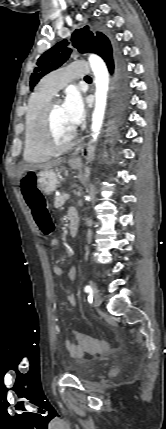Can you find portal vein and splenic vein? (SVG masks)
Instances as JSON below:
<instances>
[{"mask_svg":"<svg viewBox=\"0 0 166 429\" xmlns=\"http://www.w3.org/2000/svg\"><path fill=\"white\" fill-rule=\"evenodd\" d=\"M70 198L69 194H65V199L68 200Z\"/></svg>","mask_w":166,"mask_h":429,"instance_id":"18ae733b","label":"portal vein and splenic vein"}]
</instances>
